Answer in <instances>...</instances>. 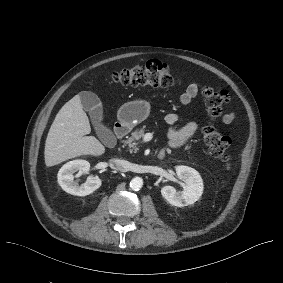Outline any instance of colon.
Listing matches in <instances>:
<instances>
[{"label":"colon","instance_id":"5ec220e1","mask_svg":"<svg viewBox=\"0 0 283 283\" xmlns=\"http://www.w3.org/2000/svg\"><path fill=\"white\" fill-rule=\"evenodd\" d=\"M112 80L126 86L155 88L170 87L177 82L169 67L157 60L118 70L112 74ZM203 95L210 119H217L229 101L228 92L223 89L206 87ZM202 137L210 154L217 158L225 169H229L231 167V156L228 152L230 138L219 132L211 122L202 128Z\"/></svg>","mask_w":283,"mask_h":283}]
</instances>
